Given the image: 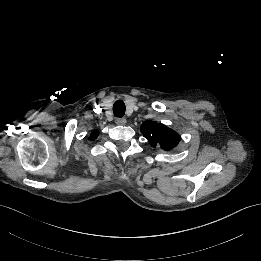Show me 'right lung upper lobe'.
<instances>
[{
    "label": "right lung upper lobe",
    "mask_w": 261,
    "mask_h": 261,
    "mask_svg": "<svg viewBox=\"0 0 261 261\" xmlns=\"http://www.w3.org/2000/svg\"><path fill=\"white\" fill-rule=\"evenodd\" d=\"M98 136V132L97 131H94L92 134H91V139H94Z\"/></svg>",
    "instance_id": "right-lung-upper-lobe-1"
}]
</instances>
